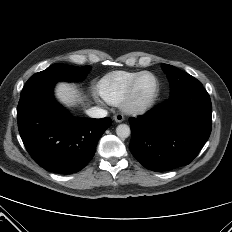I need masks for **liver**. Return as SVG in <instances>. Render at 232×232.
<instances>
[{
	"instance_id": "obj_1",
	"label": "liver",
	"mask_w": 232,
	"mask_h": 232,
	"mask_svg": "<svg viewBox=\"0 0 232 232\" xmlns=\"http://www.w3.org/2000/svg\"><path fill=\"white\" fill-rule=\"evenodd\" d=\"M55 97L60 103L66 106H74L77 102L81 101L79 91L76 87L66 82H60L56 85Z\"/></svg>"
}]
</instances>
